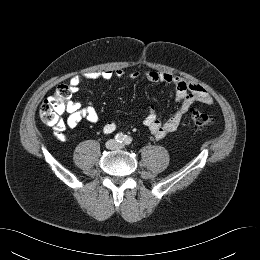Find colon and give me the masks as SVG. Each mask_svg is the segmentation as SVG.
<instances>
[{"label": "colon", "mask_w": 260, "mask_h": 260, "mask_svg": "<svg viewBox=\"0 0 260 260\" xmlns=\"http://www.w3.org/2000/svg\"><path fill=\"white\" fill-rule=\"evenodd\" d=\"M72 97L70 89L65 85L57 87L55 93L49 96L40 106L39 116L48 126L62 124V116L67 112L69 101ZM192 127L195 129H207L214 123L212 115L194 111L191 114Z\"/></svg>", "instance_id": "obj_1"}]
</instances>
